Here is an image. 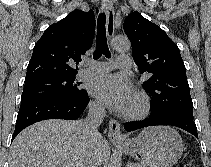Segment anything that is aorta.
<instances>
[{"label":"aorta","mask_w":211,"mask_h":167,"mask_svg":"<svg viewBox=\"0 0 211 167\" xmlns=\"http://www.w3.org/2000/svg\"><path fill=\"white\" fill-rule=\"evenodd\" d=\"M130 46L129 40L125 37H115L112 40V47L117 52H126L130 49ZM120 165V160L118 158L113 162L111 167H120Z\"/></svg>","instance_id":"aorta-1"}]
</instances>
